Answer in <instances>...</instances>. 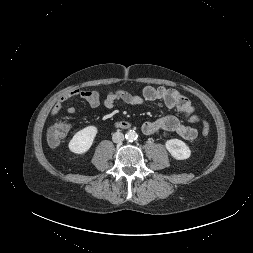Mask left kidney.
Instances as JSON below:
<instances>
[{"label": "left kidney", "instance_id": "left-kidney-1", "mask_svg": "<svg viewBox=\"0 0 253 253\" xmlns=\"http://www.w3.org/2000/svg\"><path fill=\"white\" fill-rule=\"evenodd\" d=\"M166 149L171 156L177 160L188 159L191 155V150L182 140L170 139L165 143Z\"/></svg>", "mask_w": 253, "mask_h": 253}]
</instances>
